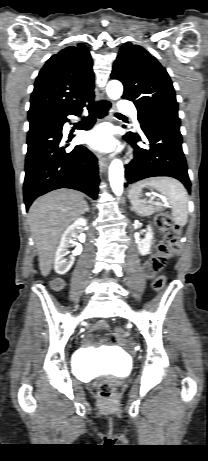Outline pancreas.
<instances>
[{"label": "pancreas", "instance_id": "cf45deb5", "mask_svg": "<svg viewBox=\"0 0 208 461\" xmlns=\"http://www.w3.org/2000/svg\"><path fill=\"white\" fill-rule=\"evenodd\" d=\"M154 210H155V211H156V210H161V206H160V205H156V206L154 207Z\"/></svg>", "mask_w": 208, "mask_h": 461}]
</instances>
